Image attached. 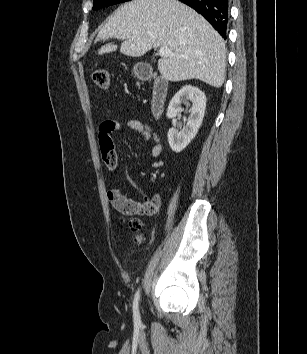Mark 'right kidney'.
<instances>
[{"mask_svg": "<svg viewBox=\"0 0 307 354\" xmlns=\"http://www.w3.org/2000/svg\"><path fill=\"white\" fill-rule=\"evenodd\" d=\"M188 100L192 101L193 105L186 126L181 131L170 128L167 134L169 145L176 153L181 152L194 139L204 118L206 96L199 88L191 85L183 86L173 96L167 109V117L175 118L182 110L181 104Z\"/></svg>", "mask_w": 307, "mask_h": 354, "instance_id": "obj_1", "label": "right kidney"}]
</instances>
